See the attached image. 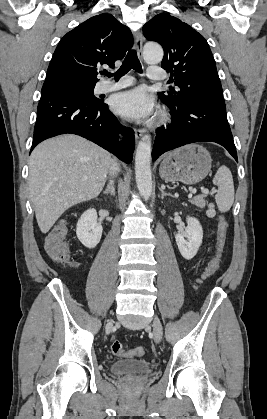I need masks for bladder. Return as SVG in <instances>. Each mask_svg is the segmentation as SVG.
<instances>
[{
  "mask_svg": "<svg viewBox=\"0 0 267 419\" xmlns=\"http://www.w3.org/2000/svg\"><path fill=\"white\" fill-rule=\"evenodd\" d=\"M109 369L114 375L145 374L151 371V366L145 360L122 359L113 362Z\"/></svg>",
  "mask_w": 267,
  "mask_h": 419,
  "instance_id": "31cf9c89",
  "label": "bladder"
}]
</instances>
